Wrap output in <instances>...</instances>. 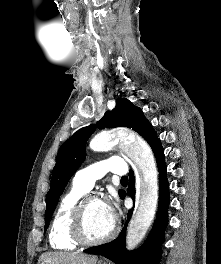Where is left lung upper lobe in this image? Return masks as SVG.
I'll return each instance as SVG.
<instances>
[{
    "mask_svg": "<svg viewBox=\"0 0 221 264\" xmlns=\"http://www.w3.org/2000/svg\"><path fill=\"white\" fill-rule=\"evenodd\" d=\"M97 127H128L139 133L151 146L152 150L160 142L150 122L144 117L140 108L134 106L126 98H118L112 111L105 113L98 121ZM96 125L79 129L70 137L58 151L56 165L52 172L51 187L46 195L45 229L48 228L50 218L65 186L77 171L85 158L86 142L94 132ZM124 191L120 190V196Z\"/></svg>",
    "mask_w": 221,
    "mask_h": 264,
    "instance_id": "1",
    "label": "left lung upper lobe"
}]
</instances>
